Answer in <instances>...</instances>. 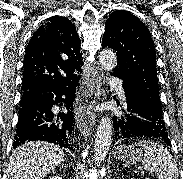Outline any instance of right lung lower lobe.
<instances>
[{"mask_svg": "<svg viewBox=\"0 0 183 179\" xmlns=\"http://www.w3.org/2000/svg\"><path fill=\"white\" fill-rule=\"evenodd\" d=\"M78 81L69 85H40L22 95L14 148L27 141L42 140L73 150L69 140L75 123L72 111L55 116L51 109L56 103L70 108Z\"/></svg>", "mask_w": 183, "mask_h": 179, "instance_id": "98d812e1", "label": "right lung lower lobe"}]
</instances>
